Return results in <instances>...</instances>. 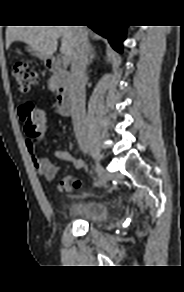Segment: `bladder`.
<instances>
[{"mask_svg":"<svg viewBox=\"0 0 184 292\" xmlns=\"http://www.w3.org/2000/svg\"><path fill=\"white\" fill-rule=\"evenodd\" d=\"M68 215L77 220L99 225L110 219L111 210L104 200L93 198L73 204L68 210Z\"/></svg>","mask_w":184,"mask_h":292,"instance_id":"1","label":"bladder"}]
</instances>
